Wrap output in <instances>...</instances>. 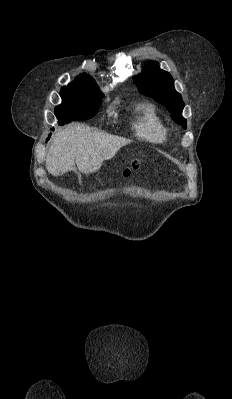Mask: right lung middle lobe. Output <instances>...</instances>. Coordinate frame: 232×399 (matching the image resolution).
I'll return each instance as SVG.
<instances>
[{
	"mask_svg": "<svg viewBox=\"0 0 232 399\" xmlns=\"http://www.w3.org/2000/svg\"><path fill=\"white\" fill-rule=\"evenodd\" d=\"M62 104L55 108L58 121L67 124L71 121L92 118L101 106L103 95L71 94L62 95Z\"/></svg>",
	"mask_w": 232,
	"mask_h": 399,
	"instance_id": "dd1d6c3e",
	"label": "right lung middle lobe"
}]
</instances>
